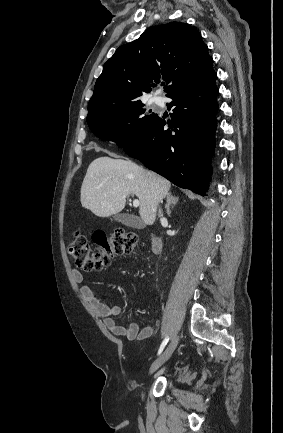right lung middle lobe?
Instances as JSON below:
<instances>
[{
    "instance_id": "obj_1",
    "label": "right lung middle lobe",
    "mask_w": 283,
    "mask_h": 433,
    "mask_svg": "<svg viewBox=\"0 0 283 433\" xmlns=\"http://www.w3.org/2000/svg\"><path fill=\"white\" fill-rule=\"evenodd\" d=\"M156 116L138 100L92 113L87 123L96 136L125 150L143 136Z\"/></svg>"
}]
</instances>
